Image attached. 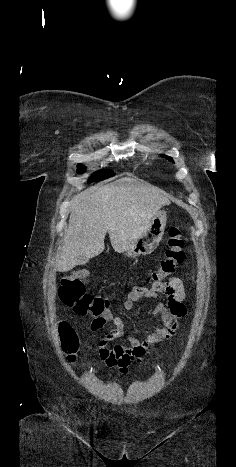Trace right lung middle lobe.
Returning <instances> with one entry per match:
<instances>
[{"instance_id": "right-lung-middle-lobe-1", "label": "right lung middle lobe", "mask_w": 236, "mask_h": 467, "mask_svg": "<svg viewBox=\"0 0 236 467\" xmlns=\"http://www.w3.org/2000/svg\"><path fill=\"white\" fill-rule=\"evenodd\" d=\"M86 169V167L82 166L81 164L78 165V172L79 173H82L84 172ZM114 172L113 171H108V170H100V171H97L95 172L88 180L89 183L93 182V181H101V180H104V179H107L109 177H112L114 176Z\"/></svg>"}]
</instances>
